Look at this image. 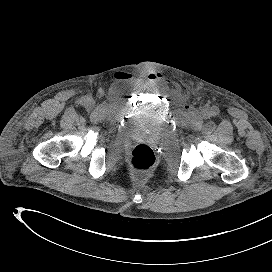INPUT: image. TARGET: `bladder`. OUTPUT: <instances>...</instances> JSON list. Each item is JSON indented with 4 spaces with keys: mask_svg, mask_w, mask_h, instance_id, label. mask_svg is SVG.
Returning <instances> with one entry per match:
<instances>
[{
    "mask_svg": "<svg viewBox=\"0 0 272 272\" xmlns=\"http://www.w3.org/2000/svg\"><path fill=\"white\" fill-rule=\"evenodd\" d=\"M140 131L153 138H158L161 134L160 125L152 120H145L140 127Z\"/></svg>",
    "mask_w": 272,
    "mask_h": 272,
    "instance_id": "bladder-1",
    "label": "bladder"
}]
</instances>
